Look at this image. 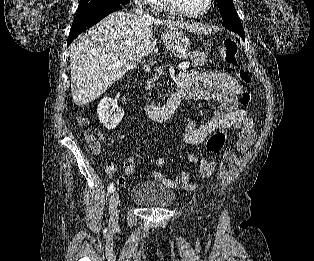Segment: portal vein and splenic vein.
<instances>
[{
	"instance_id": "18ae733b",
	"label": "portal vein and splenic vein",
	"mask_w": 314,
	"mask_h": 261,
	"mask_svg": "<svg viewBox=\"0 0 314 261\" xmlns=\"http://www.w3.org/2000/svg\"><path fill=\"white\" fill-rule=\"evenodd\" d=\"M154 63H155V62H154ZM154 63L152 62L151 64L153 65ZM124 64H126V60H121V61H118L117 63H115V64L109 66L108 69H109V70L115 69V68H117V67H119V66H122V65H124ZM189 65H190V63H189L188 61H186V62L180 63V64L178 65V67H179L180 69L185 70L186 68L189 67Z\"/></svg>"
}]
</instances>
